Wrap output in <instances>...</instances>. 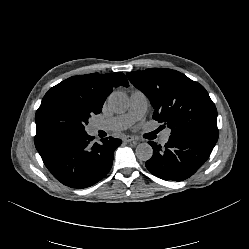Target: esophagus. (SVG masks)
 <instances>
[{
  "label": "esophagus",
  "instance_id": "34e87169",
  "mask_svg": "<svg viewBox=\"0 0 249 249\" xmlns=\"http://www.w3.org/2000/svg\"><path fill=\"white\" fill-rule=\"evenodd\" d=\"M133 140H134V137L131 135H126V136L122 137V141H124V142H131Z\"/></svg>",
  "mask_w": 249,
  "mask_h": 249
}]
</instances>
